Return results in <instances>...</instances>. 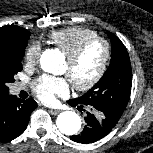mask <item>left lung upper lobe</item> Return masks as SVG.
Returning <instances> with one entry per match:
<instances>
[{"label":"left lung upper lobe","instance_id":"1","mask_svg":"<svg viewBox=\"0 0 153 153\" xmlns=\"http://www.w3.org/2000/svg\"><path fill=\"white\" fill-rule=\"evenodd\" d=\"M111 38L112 57L108 70L100 81L74 101L92 107L102 115L118 122L131 94L132 70L128 52L121 40Z\"/></svg>","mask_w":153,"mask_h":153}]
</instances>
